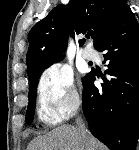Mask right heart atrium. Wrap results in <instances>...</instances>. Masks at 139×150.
<instances>
[{
  "label": "right heart atrium",
  "mask_w": 139,
  "mask_h": 150,
  "mask_svg": "<svg viewBox=\"0 0 139 150\" xmlns=\"http://www.w3.org/2000/svg\"><path fill=\"white\" fill-rule=\"evenodd\" d=\"M37 91L39 113L47 124L61 123L80 106L73 74L65 66L54 64L46 68L39 78Z\"/></svg>",
  "instance_id": "1"
}]
</instances>
